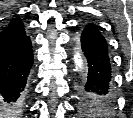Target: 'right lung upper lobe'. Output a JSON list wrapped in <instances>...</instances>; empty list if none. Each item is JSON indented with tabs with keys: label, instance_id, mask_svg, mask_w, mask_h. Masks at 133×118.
<instances>
[{
	"label": "right lung upper lobe",
	"instance_id": "obj_1",
	"mask_svg": "<svg viewBox=\"0 0 133 118\" xmlns=\"http://www.w3.org/2000/svg\"><path fill=\"white\" fill-rule=\"evenodd\" d=\"M27 38L20 19L11 20L0 32V53Z\"/></svg>",
	"mask_w": 133,
	"mask_h": 118
}]
</instances>
